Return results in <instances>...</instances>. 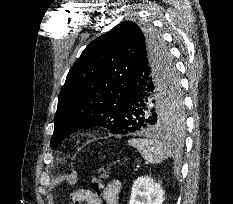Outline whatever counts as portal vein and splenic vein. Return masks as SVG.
I'll return each instance as SVG.
<instances>
[{
	"instance_id": "obj_1",
	"label": "portal vein and splenic vein",
	"mask_w": 233,
	"mask_h": 204,
	"mask_svg": "<svg viewBox=\"0 0 233 204\" xmlns=\"http://www.w3.org/2000/svg\"><path fill=\"white\" fill-rule=\"evenodd\" d=\"M139 167H140V166H139V165H137V166H136V168H135V170L137 171Z\"/></svg>"
}]
</instances>
